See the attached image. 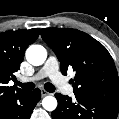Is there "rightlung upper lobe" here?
<instances>
[{
  "label": "right lung upper lobe",
  "instance_id": "1",
  "mask_svg": "<svg viewBox=\"0 0 119 119\" xmlns=\"http://www.w3.org/2000/svg\"><path fill=\"white\" fill-rule=\"evenodd\" d=\"M39 32V28H34L0 33V96L21 90L7 84L15 79L13 73L20 69L26 48L38 38Z\"/></svg>",
  "mask_w": 119,
  "mask_h": 119
}]
</instances>
